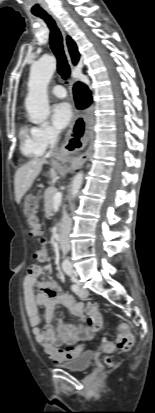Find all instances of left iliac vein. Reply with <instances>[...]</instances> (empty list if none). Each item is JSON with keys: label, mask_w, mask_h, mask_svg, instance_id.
Segmentation results:
<instances>
[{"label": "left iliac vein", "mask_w": 155, "mask_h": 413, "mask_svg": "<svg viewBox=\"0 0 155 413\" xmlns=\"http://www.w3.org/2000/svg\"><path fill=\"white\" fill-rule=\"evenodd\" d=\"M77 285L79 286V289L77 291V295L80 298H86L88 296V291L86 289H84L83 287H81L79 283H77Z\"/></svg>", "instance_id": "left-iliac-vein-1"}]
</instances>
